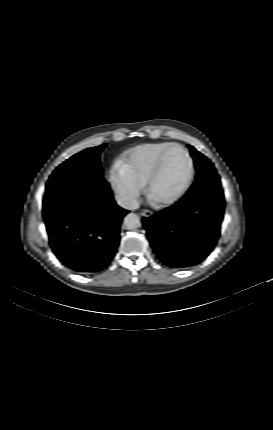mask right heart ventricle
<instances>
[{
  "label": "right heart ventricle",
  "instance_id": "e07e8e85",
  "mask_svg": "<svg viewBox=\"0 0 273 430\" xmlns=\"http://www.w3.org/2000/svg\"><path fill=\"white\" fill-rule=\"evenodd\" d=\"M171 144L170 142H152L139 145L123 156L122 164L129 175L143 186L159 154Z\"/></svg>",
  "mask_w": 273,
  "mask_h": 430
}]
</instances>
